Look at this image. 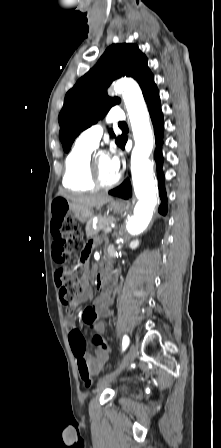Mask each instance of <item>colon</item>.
Returning a JSON list of instances; mask_svg holds the SVG:
<instances>
[{
	"mask_svg": "<svg viewBox=\"0 0 221 448\" xmlns=\"http://www.w3.org/2000/svg\"><path fill=\"white\" fill-rule=\"evenodd\" d=\"M53 224H58L56 234L58 242L54 259L59 263L56 272V282L59 286V294L62 303L65 306L72 305L76 297L82 292V285L79 279L74 275L72 268L68 265L69 258L81 253L85 257L86 248L78 223L73 215L69 213L67 203L58 201L53 209ZM97 313L92 307H87L83 312V321L89 327H94L97 321ZM70 343L77 357V366L79 376L86 387L93 383L92 371L84 358L86 346L79 330L75 329L70 333ZM91 342L96 347H104L105 342L99 334L91 337ZM86 343V342H85Z\"/></svg>",
	"mask_w": 221,
	"mask_h": 448,
	"instance_id": "colon-1",
	"label": "colon"
}]
</instances>
